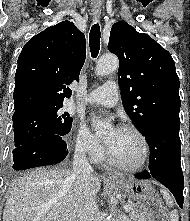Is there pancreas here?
I'll return each instance as SVG.
<instances>
[{
  "label": "pancreas",
  "mask_w": 190,
  "mask_h": 221,
  "mask_svg": "<svg viewBox=\"0 0 190 221\" xmlns=\"http://www.w3.org/2000/svg\"><path fill=\"white\" fill-rule=\"evenodd\" d=\"M129 205L132 209L128 211V214L133 221H147L146 216L138 209L137 205L133 203H129Z\"/></svg>",
  "instance_id": "obj_1"
}]
</instances>
